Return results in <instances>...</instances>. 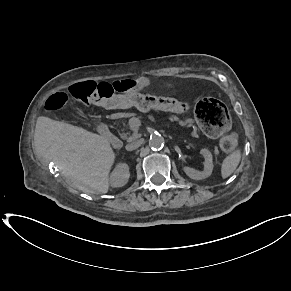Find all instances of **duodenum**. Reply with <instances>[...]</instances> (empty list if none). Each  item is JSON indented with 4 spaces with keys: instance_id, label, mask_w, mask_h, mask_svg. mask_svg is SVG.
Listing matches in <instances>:
<instances>
[{
    "instance_id": "1",
    "label": "duodenum",
    "mask_w": 291,
    "mask_h": 291,
    "mask_svg": "<svg viewBox=\"0 0 291 291\" xmlns=\"http://www.w3.org/2000/svg\"><path fill=\"white\" fill-rule=\"evenodd\" d=\"M98 130L104 133V137L109 140V143L117 148L124 146V141L116 137L111 130H108L105 125H99Z\"/></svg>"
}]
</instances>
